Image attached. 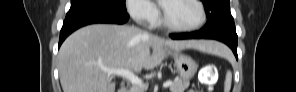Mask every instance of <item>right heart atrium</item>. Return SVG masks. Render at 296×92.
<instances>
[{"label":"right heart atrium","mask_w":296,"mask_h":92,"mask_svg":"<svg viewBox=\"0 0 296 92\" xmlns=\"http://www.w3.org/2000/svg\"><path fill=\"white\" fill-rule=\"evenodd\" d=\"M129 14L136 20L145 24H153L159 16L157 5L153 1L129 0L127 1Z\"/></svg>","instance_id":"1"}]
</instances>
